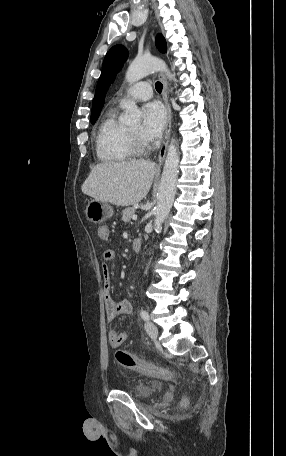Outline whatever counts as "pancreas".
<instances>
[{
  "label": "pancreas",
  "mask_w": 286,
  "mask_h": 456,
  "mask_svg": "<svg viewBox=\"0 0 286 456\" xmlns=\"http://www.w3.org/2000/svg\"><path fill=\"white\" fill-rule=\"evenodd\" d=\"M133 215H135L134 207H129V208L124 209L122 212V221L125 223L130 222Z\"/></svg>",
  "instance_id": "cf45deb5"
}]
</instances>
